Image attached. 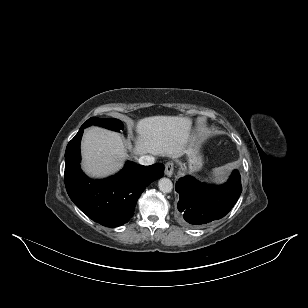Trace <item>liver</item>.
<instances>
[{
	"label": "liver",
	"instance_id": "1",
	"mask_svg": "<svg viewBox=\"0 0 308 308\" xmlns=\"http://www.w3.org/2000/svg\"><path fill=\"white\" fill-rule=\"evenodd\" d=\"M191 120L178 116H152L136 122L133 154L179 157L190 138ZM82 168L93 178L119 171L127 158L122 137L111 130L93 126L82 139Z\"/></svg>",
	"mask_w": 308,
	"mask_h": 308
}]
</instances>
